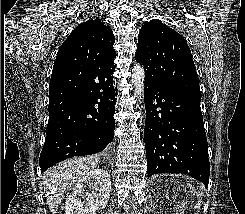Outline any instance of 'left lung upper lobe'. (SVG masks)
<instances>
[{
	"instance_id": "left-lung-upper-lobe-1",
	"label": "left lung upper lobe",
	"mask_w": 245,
	"mask_h": 214,
	"mask_svg": "<svg viewBox=\"0 0 245 214\" xmlns=\"http://www.w3.org/2000/svg\"><path fill=\"white\" fill-rule=\"evenodd\" d=\"M138 38L135 60L144 66L145 82L200 93L191 51L179 33L153 19L142 26Z\"/></svg>"
}]
</instances>
